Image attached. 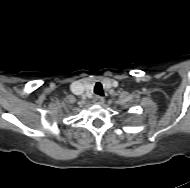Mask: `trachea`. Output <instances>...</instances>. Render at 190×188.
Listing matches in <instances>:
<instances>
[{
  "mask_svg": "<svg viewBox=\"0 0 190 188\" xmlns=\"http://www.w3.org/2000/svg\"><path fill=\"white\" fill-rule=\"evenodd\" d=\"M94 93L100 96H103L104 92H103V87L101 83H96L95 87H94Z\"/></svg>",
  "mask_w": 190,
  "mask_h": 188,
  "instance_id": "trachea-1",
  "label": "trachea"
}]
</instances>
